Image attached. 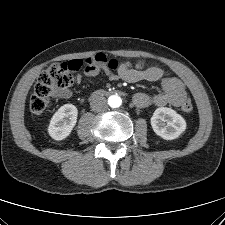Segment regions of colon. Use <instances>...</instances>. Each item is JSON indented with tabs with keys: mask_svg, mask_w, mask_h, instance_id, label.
I'll return each mask as SVG.
<instances>
[{
	"mask_svg": "<svg viewBox=\"0 0 225 225\" xmlns=\"http://www.w3.org/2000/svg\"><path fill=\"white\" fill-rule=\"evenodd\" d=\"M100 55L88 58L87 60H73L70 62H56L51 64L47 70L42 72L34 85V92L31 96L29 107L32 113L41 114L50 106V98L56 93L66 90L72 85L73 72L85 66L89 70L99 60ZM117 60L111 59L109 65L115 68ZM184 112H190L193 108L190 98H185L180 105Z\"/></svg>",
	"mask_w": 225,
	"mask_h": 225,
	"instance_id": "1",
	"label": "colon"
}]
</instances>
